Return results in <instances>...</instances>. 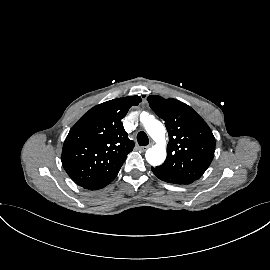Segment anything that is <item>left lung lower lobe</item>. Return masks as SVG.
Wrapping results in <instances>:
<instances>
[{
  "mask_svg": "<svg viewBox=\"0 0 270 270\" xmlns=\"http://www.w3.org/2000/svg\"><path fill=\"white\" fill-rule=\"evenodd\" d=\"M151 169L160 180L165 182L173 184H190L194 181L193 179L177 172L163 170L158 167H151Z\"/></svg>",
  "mask_w": 270,
  "mask_h": 270,
  "instance_id": "1",
  "label": "left lung lower lobe"
}]
</instances>
